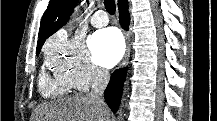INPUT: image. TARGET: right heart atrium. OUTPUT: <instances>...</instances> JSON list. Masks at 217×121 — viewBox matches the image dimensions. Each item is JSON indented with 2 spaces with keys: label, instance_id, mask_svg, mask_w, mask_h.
<instances>
[{
  "label": "right heart atrium",
  "instance_id": "right-heart-atrium-1",
  "mask_svg": "<svg viewBox=\"0 0 217 121\" xmlns=\"http://www.w3.org/2000/svg\"><path fill=\"white\" fill-rule=\"evenodd\" d=\"M45 56L54 75L78 91L99 86L107 79L106 71L92 62L79 37L55 34L45 45Z\"/></svg>",
  "mask_w": 217,
  "mask_h": 121
}]
</instances>
